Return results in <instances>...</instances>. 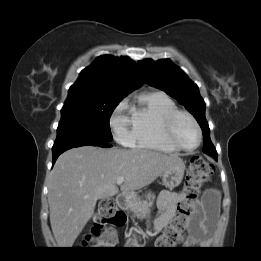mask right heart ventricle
Returning a JSON list of instances; mask_svg holds the SVG:
<instances>
[{
	"mask_svg": "<svg viewBox=\"0 0 261 261\" xmlns=\"http://www.w3.org/2000/svg\"><path fill=\"white\" fill-rule=\"evenodd\" d=\"M176 110L177 105L166 93H142L134 103L128 105L131 126L128 145L151 151L177 152L178 149L168 142L164 132L165 119Z\"/></svg>",
	"mask_w": 261,
	"mask_h": 261,
	"instance_id": "e07e8e85",
	"label": "right heart ventricle"
}]
</instances>
